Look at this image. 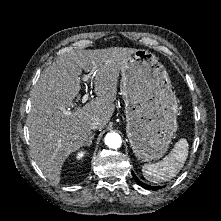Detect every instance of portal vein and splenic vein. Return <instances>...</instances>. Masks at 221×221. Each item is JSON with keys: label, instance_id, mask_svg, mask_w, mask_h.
Segmentation results:
<instances>
[{"label": "portal vein and splenic vein", "instance_id": "obj_1", "mask_svg": "<svg viewBox=\"0 0 221 221\" xmlns=\"http://www.w3.org/2000/svg\"><path fill=\"white\" fill-rule=\"evenodd\" d=\"M95 75V73L93 74V76ZM83 81H85V82H88L89 81V75H85L84 77H83ZM88 98H89V94L88 93H86L83 97H82V103L84 104V103H86V101L88 100ZM64 114L65 115H70L71 114V111H69V110H65L64 111Z\"/></svg>", "mask_w": 221, "mask_h": 221}]
</instances>
